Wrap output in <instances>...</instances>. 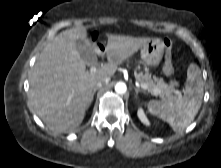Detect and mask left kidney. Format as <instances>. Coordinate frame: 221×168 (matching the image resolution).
I'll use <instances>...</instances> for the list:
<instances>
[{
  "instance_id": "obj_1",
  "label": "left kidney",
  "mask_w": 221,
  "mask_h": 168,
  "mask_svg": "<svg viewBox=\"0 0 221 168\" xmlns=\"http://www.w3.org/2000/svg\"><path fill=\"white\" fill-rule=\"evenodd\" d=\"M137 114H138V117H139V119L141 120V122L143 124H145V125H149L150 124V122H149V120H148V118H147V116H146V114H145V112H144V110L142 108L138 109Z\"/></svg>"
}]
</instances>
